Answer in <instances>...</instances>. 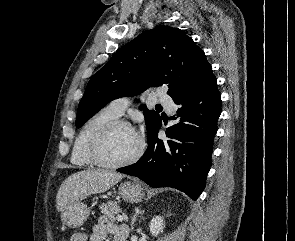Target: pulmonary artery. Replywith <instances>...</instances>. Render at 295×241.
<instances>
[{
  "instance_id": "e3ab8cb5",
  "label": "pulmonary artery",
  "mask_w": 295,
  "mask_h": 241,
  "mask_svg": "<svg viewBox=\"0 0 295 241\" xmlns=\"http://www.w3.org/2000/svg\"><path fill=\"white\" fill-rule=\"evenodd\" d=\"M158 100L161 102V104L167 108L169 112L174 111V103L173 100L169 95L166 94L165 91L159 90L157 94ZM131 103V98L129 97H120L112 100L108 105L107 109H109L111 112H113L117 116H121L127 107Z\"/></svg>"
}]
</instances>
